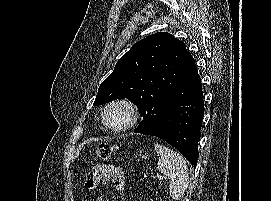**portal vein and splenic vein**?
I'll use <instances>...</instances> for the list:
<instances>
[{
  "instance_id": "portal-vein-and-splenic-vein-1",
  "label": "portal vein and splenic vein",
  "mask_w": 271,
  "mask_h": 201,
  "mask_svg": "<svg viewBox=\"0 0 271 201\" xmlns=\"http://www.w3.org/2000/svg\"><path fill=\"white\" fill-rule=\"evenodd\" d=\"M165 177L163 175H158V179L162 180L164 179Z\"/></svg>"
}]
</instances>
